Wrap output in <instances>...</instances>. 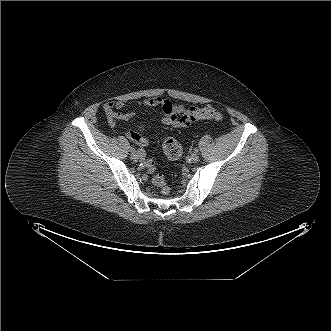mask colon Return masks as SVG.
Instances as JSON below:
<instances>
[{"mask_svg":"<svg viewBox=\"0 0 331 331\" xmlns=\"http://www.w3.org/2000/svg\"><path fill=\"white\" fill-rule=\"evenodd\" d=\"M201 119L219 121L222 119V114L218 109L212 106H206L203 108L190 107L184 110L181 117V120L187 126ZM162 147L166 157L169 160L176 162L181 159L182 147L176 139L172 137L164 138ZM145 165L147 170L153 173V178H152L153 184L159 187L164 195L168 194L169 187L166 183V180L163 177V175L155 173V166L153 161L151 159H147Z\"/></svg>","mask_w":331,"mask_h":331,"instance_id":"1","label":"colon"}]
</instances>
